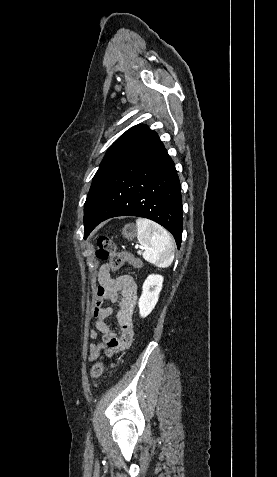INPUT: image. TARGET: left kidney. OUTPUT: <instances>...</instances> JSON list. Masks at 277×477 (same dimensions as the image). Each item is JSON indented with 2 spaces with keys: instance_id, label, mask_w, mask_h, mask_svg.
Returning a JSON list of instances; mask_svg holds the SVG:
<instances>
[{
  "instance_id": "5707ae66",
  "label": "left kidney",
  "mask_w": 277,
  "mask_h": 477,
  "mask_svg": "<svg viewBox=\"0 0 277 477\" xmlns=\"http://www.w3.org/2000/svg\"><path fill=\"white\" fill-rule=\"evenodd\" d=\"M163 277L151 274L143 284L142 294L138 302L141 317H147L157 304L162 289Z\"/></svg>"
}]
</instances>
